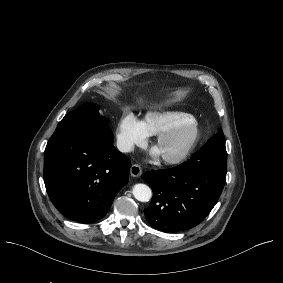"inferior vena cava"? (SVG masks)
<instances>
[{"label": "inferior vena cava", "instance_id": "obj_1", "mask_svg": "<svg viewBox=\"0 0 283 283\" xmlns=\"http://www.w3.org/2000/svg\"><path fill=\"white\" fill-rule=\"evenodd\" d=\"M117 147L121 152H130L133 150V144L128 141H117Z\"/></svg>", "mask_w": 283, "mask_h": 283}]
</instances>
